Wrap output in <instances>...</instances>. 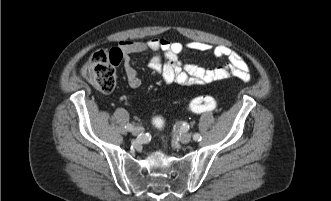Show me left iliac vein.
<instances>
[{
    "instance_id": "1",
    "label": "left iliac vein",
    "mask_w": 331,
    "mask_h": 201,
    "mask_svg": "<svg viewBox=\"0 0 331 201\" xmlns=\"http://www.w3.org/2000/svg\"><path fill=\"white\" fill-rule=\"evenodd\" d=\"M179 141L184 144H187L191 141V135L189 133H182L179 136Z\"/></svg>"
}]
</instances>
